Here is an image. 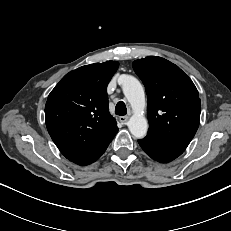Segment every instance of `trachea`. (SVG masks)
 <instances>
[{
    "instance_id": "3493384b",
    "label": "trachea",
    "mask_w": 231,
    "mask_h": 231,
    "mask_svg": "<svg viewBox=\"0 0 231 231\" xmlns=\"http://www.w3.org/2000/svg\"><path fill=\"white\" fill-rule=\"evenodd\" d=\"M127 113L126 105L123 101H119L115 107V114L119 116H124Z\"/></svg>"
}]
</instances>
